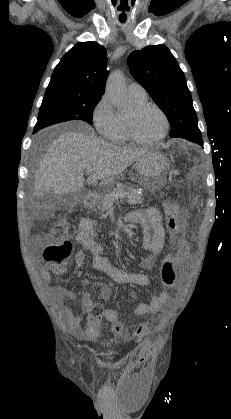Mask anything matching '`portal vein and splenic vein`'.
<instances>
[{"label": "portal vein and splenic vein", "mask_w": 231, "mask_h": 419, "mask_svg": "<svg viewBox=\"0 0 231 419\" xmlns=\"http://www.w3.org/2000/svg\"><path fill=\"white\" fill-rule=\"evenodd\" d=\"M86 172V174H90V173H92V170L91 169H88V170H86L85 171ZM128 195V193H120V194H117V195H115V198H124V197H126Z\"/></svg>", "instance_id": "1"}]
</instances>
